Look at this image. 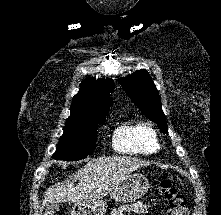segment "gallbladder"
Masks as SVG:
<instances>
[{
	"label": "gallbladder",
	"instance_id": "obj_1",
	"mask_svg": "<svg viewBox=\"0 0 221 215\" xmlns=\"http://www.w3.org/2000/svg\"><path fill=\"white\" fill-rule=\"evenodd\" d=\"M59 210L58 203H50L45 208V215H54Z\"/></svg>",
	"mask_w": 221,
	"mask_h": 215
}]
</instances>
